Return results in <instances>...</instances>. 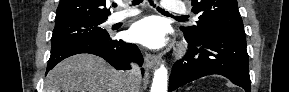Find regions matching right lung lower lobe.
<instances>
[{"label":"right lung lower lobe","mask_w":289,"mask_h":92,"mask_svg":"<svg viewBox=\"0 0 289 92\" xmlns=\"http://www.w3.org/2000/svg\"><path fill=\"white\" fill-rule=\"evenodd\" d=\"M79 53H90L100 56L118 70L130 69L129 63L131 61L138 63L140 66L143 63L142 54L136 45L113 39L85 41L51 51L46 73L63 59ZM141 70L143 74L144 70Z\"/></svg>","instance_id":"98d812e1"}]
</instances>
